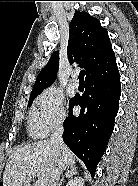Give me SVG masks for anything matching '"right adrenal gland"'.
Instances as JSON below:
<instances>
[{
	"label": "right adrenal gland",
	"mask_w": 138,
	"mask_h": 186,
	"mask_svg": "<svg viewBox=\"0 0 138 186\" xmlns=\"http://www.w3.org/2000/svg\"><path fill=\"white\" fill-rule=\"evenodd\" d=\"M77 173H78V171H77V168L75 166L68 167L65 175L61 178L58 186H61L62 185V182L64 181V178H66V177H72L73 175H75Z\"/></svg>",
	"instance_id": "obj_1"
}]
</instances>
